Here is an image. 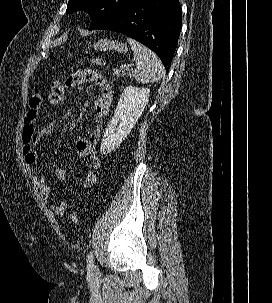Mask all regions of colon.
<instances>
[{
    "mask_svg": "<svg viewBox=\"0 0 272 303\" xmlns=\"http://www.w3.org/2000/svg\"><path fill=\"white\" fill-rule=\"evenodd\" d=\"M93 64L99 68H104L106 66V61L101 57H96L93 59ZM111 74L119 78L122 76V71L118 67H114L111 69ZM64 97V87L60 81H55L52 84L50 93H49V103L52 108H57L61 105ZM46 126L54 128L53 121H50L46 124ZM71 220L74 223H78L80 221V216L77 212L71 213Z\"/></svg>",
    "mask_w": 272,
    "mask_h": 303,
    "instance_id": "5ec220e1",
    "label": "colon"
}]
</instances>
